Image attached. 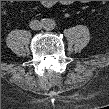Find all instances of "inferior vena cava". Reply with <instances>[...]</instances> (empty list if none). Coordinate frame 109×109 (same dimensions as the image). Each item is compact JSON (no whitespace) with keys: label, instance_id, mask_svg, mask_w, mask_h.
<instances>
[{"label":"inferior vena cava","instance_id":"obj_1","mask_svg":"<svg viewBox=\"0 0 109 109\" xmlns=\"http://www.w3.org/2000/svg\"><path fill=\"white\" fill-rule=\"evenodd\" d=\"M32 30H40L43 27V24L39 20H32L29 24Z\"/></svg>","mask_w":109,"mask_h":109}]
</instances>
